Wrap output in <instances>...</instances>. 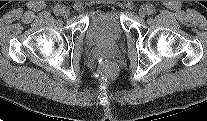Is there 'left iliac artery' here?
<instances>
[{
	"label": "left iliac artery",
	"instance_id": "44dca946",
	"mask_svg": "<svg viewBox=\"0 0 207 121\" xmlns=\"http://www.w3.org/2000/svg\"><path fill=\"white\" fill-rule=\"evenodd\" d=\"M155 12V7L153 5L148 6V14H154Z\"/></svg>",
	"mask_w": 207,
	"mask_h": 121
}]
</instances>
